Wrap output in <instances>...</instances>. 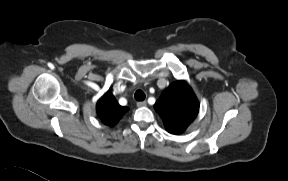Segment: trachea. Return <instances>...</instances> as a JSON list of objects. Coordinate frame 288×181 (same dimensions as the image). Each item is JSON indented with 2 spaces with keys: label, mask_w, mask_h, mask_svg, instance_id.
I'll list each match as a JSON object with an SVG mask.
<instances>
[{
  "label": "trachea",
  "mask_w": 288,
  "mask_h": 181,
  "mask_svg": "<svg viewBox=\"0 0 288 181\" xmlns=\"http://www.w3.org/2000/svg\"><path fill=\"white\" fill-rule=\"evenodd\" d=\"M134 96L137 101H143L146 97L145 93L142 90H137Z\"/></svg>",
  "instance_id": "obj_1"
}]
</instances>
